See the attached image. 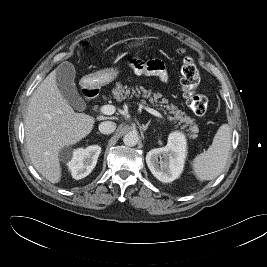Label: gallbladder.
I'll return each mask as SVG.
<instances>
[{
    "label": "gallbladder",
    "instance_id": "obj_1",
    "mask_svg": "<svg viewBox=\"0 0 267 267\" xmlns=\"http://www.w3.org/2000/svg\"><path fill=\"white\" fill-rule=\"evenodd\" d=\"M56 84L67 102L78 111H84L86 109V103L79 94L75 78V68L70 62H62L56 68Z\"/></svg>",
    "mask_w": 267,
    "mask_h": 267
}]
</instances>
